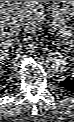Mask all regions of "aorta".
Segmentation results:
<instances>
[{
	"instance_id": "1",
	"label": "aorta",
	"mask_w": 74,
	"mask_h": 122,
	"mask_svg": "<svg viewBox=\"0 0 74 122\" xmlns=\"http://www.w3.org/2000/svg\"><path fill=\"white\" fill-rule=\"evenodd\" d=\"M45 67L54 74H61L66 71L67 59L58 51L50 50L44 56Z\"/></svg>"
}]
</instances>
